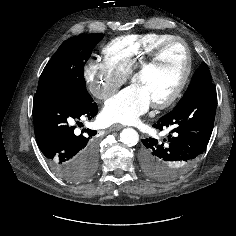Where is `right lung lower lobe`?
Instances as JSON below:
<instances>
[{"instance_id":"right-lung-lower-lobe-1","label":"right lung lower lobe","mask_w":236,"mask_h":236,"mask_svg":"<svg viewBox=\"0 0 236 236\" xmlns=\"http://www.w3.org/2000/svg\"><path fill=\"white\" fill-rule=\"evenodd\" d=\"M98 113L93 101L54 94L33 99V122L37 144L51 167L65 180L76 182L79 167L97 159V131L78 132L76 124ZM76 123V124H75Z\"/></svg>"}]
</instances>
